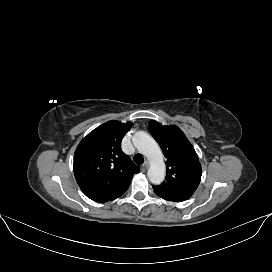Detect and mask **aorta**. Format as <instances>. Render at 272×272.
I'll list each match as a JSON object with an SVG mask.
<instances>
[{"mask_svg": "<svg viewBox=\"0 0 272 272\" xmlns=\"http://www.w3.org/2000/svg\"><path fill=\"white\" fill-rule=\"evenodd\" d=\"M133 143L150 162V168L147 173L150 182L155 185L162 183L166 169L163 153L158 143L144 131H138L134 134Z\"/></svg>", "mask_w": 272, "mask_h": 272, "instance_id": "obj_1", "label": "aorta"}]
</instances>
